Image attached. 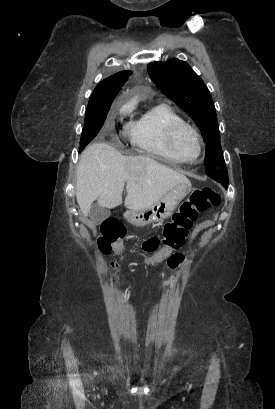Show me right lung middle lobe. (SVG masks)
I'll use <instances>...</instances> for the list:
<instances>
[{
    "mask_svg": "<svg viewBox=\"0 0 275 409\" xmlns=\"http://www.w3.org/2000/svg\"><path fill=\"white\" fill-rule=\"evenodd\" d=\"M110 106L102 108H88L85 113L84 128L80 140L79 153L95 138L102 128Z\"/></svg>",
    "mask_w": 275,
    "mask_h": 409,
    "instance_id": "obj_1",
    "label": "right lung middle lobe"
}]
</instances>
